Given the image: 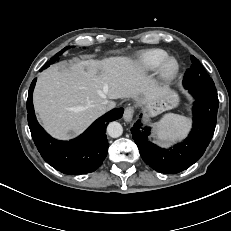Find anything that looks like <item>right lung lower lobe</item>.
<instances>
[{"instance_id":"right-lung-lower-lobe-1","label":"right lung lower lobe","mask_w":231,"mask_h":231,"mask_svg":"<svg viewBox=\"0 0 231 231\" xmlns=\"http://www.w3.org/2000/svg\"><path fill=\"white\" fill-rule=\"evenodd\" d=\"M35 83L36 79L30 85L27 99L28 125L42 158L56 170L68 175L95 171L108 153L106 127L109 122L122 117L123 108H115L106 113L79 137L70 141H58L50 137L36 120L32 103Z\"/></svg>"}]
</instances>
